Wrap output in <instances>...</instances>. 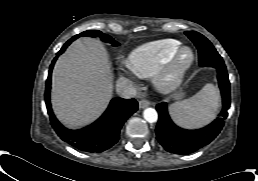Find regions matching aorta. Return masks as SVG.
Instances as JSON below:
<instances>
[{
  "instance_id": "aorta-1",
  "label": "aorta",
  "mask_w": 258,
  "mask_h": 181,
  "mask_svg": "<svg viewBox=\"0 0 258 181\" xmlns=\"http://www.w3.org/2000/svg\"><path fill=\"white\" fill-rule=\"evenodd\" d=\"M143 117L149 123H154L158 120V114L154 108H146L143 112Z\"/></svg>"
}]
</instances>
